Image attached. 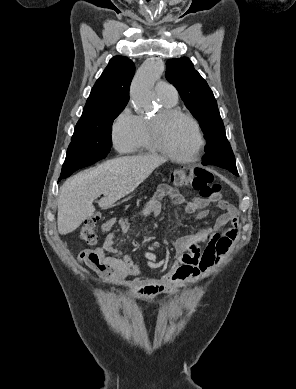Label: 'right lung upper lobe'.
I'll return each mask as SVG.
<instances>
[{"label":"right lung upper lobe","mask_w":296,"mask_h":389,"mask_svg":"<svg viewBox=\"0 0 296 389\" xmlns=\"http://www.w3.org/2000/svg\"><path fill=\"white\" fill-rule=\"evenodd\" d=\"M134 73L135 65L132 60L123 56L113 57L93 86L81 118L125 107Z\"/></svg>","instance_id":"1"}]
</instances>
